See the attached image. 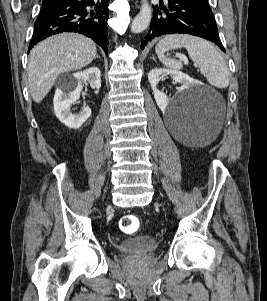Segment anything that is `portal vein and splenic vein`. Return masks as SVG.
Returning a JSON list of instances; mask_svg holds the SVG:
<instances>
[{"mask_svg":"<svg viewBox=\"0 0 267 301\" xmlns=\"http://www.w3.org/2000/svg\"><path fill=\"white\" fill-rule=\"evenodd\" d=\"M181 60L184 61L185 63H188V60L185 57H182ZM195 66H197V65H195Z\"/></svg>","mask_w":267,"mask_h":301,"instance_id":"18ae733b","label":"portal vein and splenic vein"}]
</instances>
